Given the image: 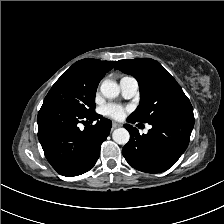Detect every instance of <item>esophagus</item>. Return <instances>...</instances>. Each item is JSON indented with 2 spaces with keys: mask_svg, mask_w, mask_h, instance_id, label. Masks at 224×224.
<instances>
[{
  "mask_svg": "<svg viewBox=\"0 0 224 224\" xmlns=\"http://www.w3.org/2000/svg\"><path fill=\"white\" fill-rule=\"evenodd\" d=\"M120 126H121V125L118 124V123H116V122H113V123H112V128H113V129L118 128V127H120Z\"/></svg>",
  "mask_w": 224,
  "mask_h": 224,
  "instance_id": "34e87169",
  "label": "esophagus"
}]
</instances>
